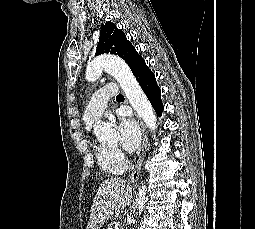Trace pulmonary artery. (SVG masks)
I'll return each mask as SVG.
<instances>
[{
  "instance_id": "obj_1",
  "label": "pulmonary artery",
  "mask_w": 255,
  "mask_h": 229,
  "mask_svg": "<svg viewBox=\"0 0 255 229\" xmlns=\"http://www.w3.org/2000/svg\"><path fill=\"white\" fill-rule=\"evenodd\" d=\"M118 88L115 84L108 83L101 89L97 90L91 97L85 113L84 121L87 124H96L99 122L103 112L107 106V102L111 97L116 96Z\"/></svg>"
}]
</instances>
